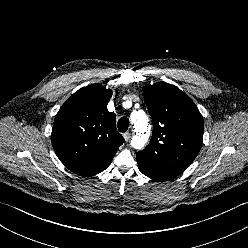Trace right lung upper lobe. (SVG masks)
I'll return each mask as SVG.
<instances>
[{
    "label": "right lung upper lobe",
    "mask_w": 248,
    "mask_h": 248,
    "mask_svg": "<svg viewBox=\"0 0 248 248\" xmlns=\"http://www.w3.org/2000/svg\"><path fill=\"white\" fill-rule=\"evenodd\" d=\"M112 91L92 84L75 92L58 111L51 141L60 161L80 176L105 170L124 138L117 132L115 114L107 104Z\"/></svg>",
    "instance_id": "right-lung-upper-lobe-1"
}]
</instances>
